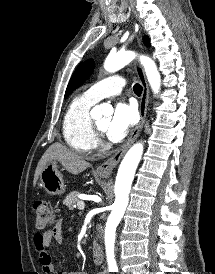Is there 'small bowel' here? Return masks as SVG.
<instances>
[{"mask_svg": "<svg viewBox=\"0 0 215 274\" xmlns=\"http://www.w3.org/2000/svg\"><path fill=\"white\" fill-rule=\"evenodd\" d=\"M55 240L58 244L63 242L62 224L57 222L53 228L36 233L34 236V246L38 257L39 264L42 271L45 274H52L54 272L51 264V258L46 248L50 245L52 240ZM55 274H83L81 272H56ZM95 274H104L103 272H96Z\"/></svg>", "mask_w": 215, "mask_h": 274, "instance_id": "obj_1", "label": "small bowel"}]
</instances>
